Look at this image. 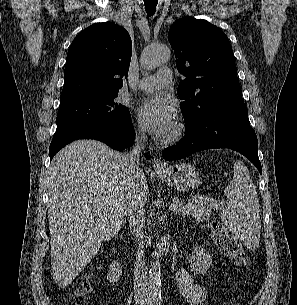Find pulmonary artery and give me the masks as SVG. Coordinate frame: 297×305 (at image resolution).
I'll use <instances>...</instances> for the list:
<instances>
[{
  "label": "pulmonary artery",
  "instance_id": "pulmonary-artery-1",
  "mask_svg": "<svg viewBox=\"0 0 297 305\" xmlns=\"http://www.w3.org/2000/svg\"><path fill=\"white\" fill-rule=\"evenodd\" d=\"M172 78L169 68H161L157 73L140 79L138 88L146 92L157 91L168 86L172 82Z\"/></svg>",
  "mask_w": 297,
  "mask_h": 305
}]
</instances>
